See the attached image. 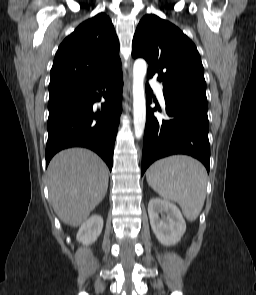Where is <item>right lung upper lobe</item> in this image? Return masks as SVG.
<instances>
[{"label":"right lung upper lobe","instance_id":"right-lung-upper-lobe-1","mask_svg":"<svg viewBox=\"0 0 256 295\" xmlns=\"http://www.w3.org/2000/svg\"><path fill=\"white\" fill-rule=\"evenodd\" d=\"M118 71V37L109 17L100 13L80 24L59 46L49 93L91 83Z\"/></svg>","mask_w":256,"mask_h":295}]
</instances>
